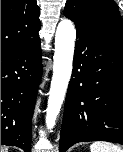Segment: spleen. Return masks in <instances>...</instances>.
<instances>
[{
  "instance_id": "spleen-1",
  "label": "spleen",
  "mask_w": 123,
  "mask_h": 152,
  "mask_svg": "<svg viewBox=\"0 0 123 152\" xmlns=\"http://www.w3.org/2000/svg\"><path fill=\"white\" fill-rule=\"evenodd\" d=\"M91 152H123L119 146L112 143L95 142L90 145Z\"/></svg>"
}]
</instances>
